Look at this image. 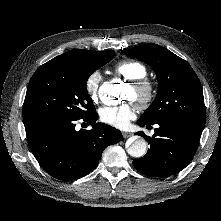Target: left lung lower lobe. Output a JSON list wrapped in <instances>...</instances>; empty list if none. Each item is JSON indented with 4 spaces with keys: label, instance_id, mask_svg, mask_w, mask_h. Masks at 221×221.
<instances>
[{
    "label": "left lung lower lobe",
    "instance_id": "left-lung-lower-lobe-1",
    "mask_svg": "<svg viewBox=\"0 0 221 221\" xmlns=\"http://www.w3.org/2000/svg\"><path fill=\"white\" fill-rule=\"evenodd\" d=\"M141 127L158 124L153 137L143 131L136 134L148 140L150 149L142 158L133 161L134 167L152 177H165L178 173L193 159L204 125L179 121L162 120L146 123L138 120Z\"/></svg>",
    "mask_w": 221,
    "mask_h": 221
}]
</instances>
